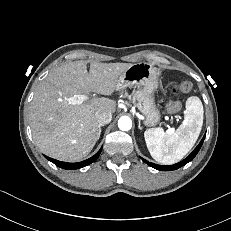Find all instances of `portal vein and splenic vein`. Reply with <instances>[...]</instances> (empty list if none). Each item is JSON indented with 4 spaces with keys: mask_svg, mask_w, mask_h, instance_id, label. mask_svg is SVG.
Segmentation results:
<instances>
[{
    "mask_svg": "<svg viewBox=\"0 0 231 231\" xmlns=\"http://www.w3.org/2000/svg\"><path fill=\"white\" fill-rule=\"evenodd\" d=\"M87 99H88V96L81 94V95H75L69 98V102L72 104H81ZM169 132H171V130H169Z\"/></svg>",
    "mask_w": 231,
    "mask_h": 231,
    "instance_id": "1",
    "label": "portal vein and splenic vein"
}]
</instances>
